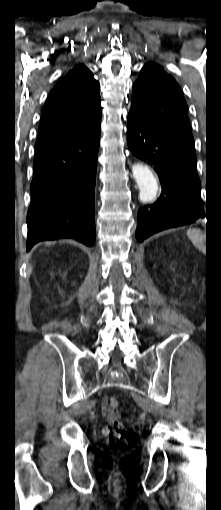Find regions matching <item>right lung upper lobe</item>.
<instances>
[{
	"mask_svg": "<svg viewBox=\"0 0 221 510\" xmlns=\"http://www.w3.org/2000/svg\"><path fill=\"white\" fill-rule=\"evenodd\" d=\"M99 82L84 65L71 70L53 88L42 109L35 147L83 132L101 119Z\"/></svg>",
	"mask_w": 221,
	"mask_h": 510,
	"instance_id": "obj_1",
	"label": "right lung upper lobe"
}]
</instances>
